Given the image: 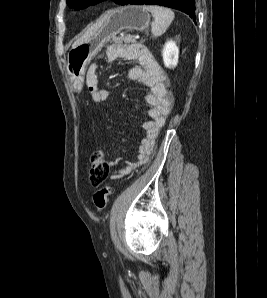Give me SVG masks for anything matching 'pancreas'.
<instances>
[{
  "mask_svg": "<svg viewBox=\"0 0 267 298\" xmlns=\"http://www.w3.org/2000/svg\"><path fill=\"white\" fill-rule=\"evenodd\" d=\"M120 41H124L125 43H135L136 39L132 35H124L119 38Z\"/></svg>",
  "mask_w": 267,
  "mask_h": 298,
  "instance_id": "obj_1",
  "label": "pancreas"
}]
</instances>
